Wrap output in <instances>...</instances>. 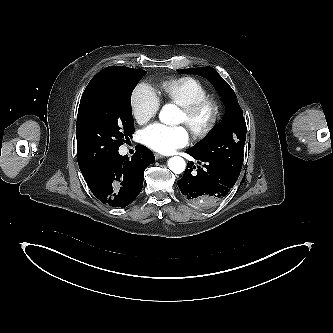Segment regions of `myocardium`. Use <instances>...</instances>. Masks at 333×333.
I'll return each mask as SVG.
<instances>
[{"instance_id":"f54148a6","label":"myocardium","mask_w":333,"mask_h":333,"mask_svg":"<svg viewBox=\"0 0 333 333\" xmlns=\"http://www.w3.org/2000/svg\"><path fill=\"white\" fill-rule=\"evenodd\" d=\"M181 108L186 117V125L195 140H202L210 135L220 123L223 115L220 101L213 97H206ZM206 111L210 112L208 122L202 127H197L196 119Z\"/></svg>"}]
</instances>
